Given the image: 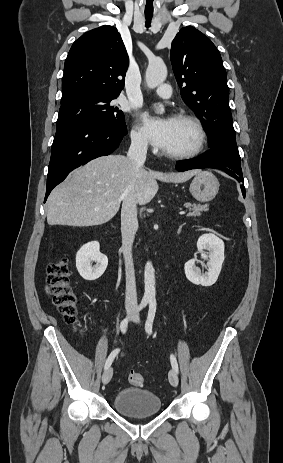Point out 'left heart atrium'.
I'll use <instances>...</instances> for the list:
<instances>
[{
    "label": "left heart atrium",
    "instance_id": "obj_1",
    "mask_svg": "<svg viewBox=\"0 0 283 463\" xmlns=\"http://www.w3.org/2000/svg\"><path fill=\"white\" fill-rule=\"evenodd\" d=\"M172 120L151 115L143 116V130L149 141L157 148L164 149L170 139Z\"/></svg>",
    "mask_w": 283,
    "mask_h": 463
}]
</instances>
